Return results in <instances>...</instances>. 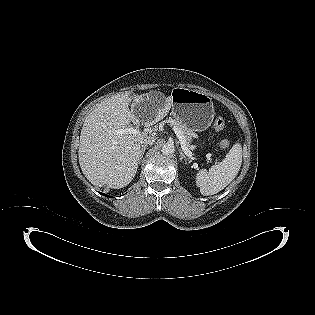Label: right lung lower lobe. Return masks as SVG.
Instances as JSON below:
<instances>
[{
    "label": "right lung lower lobe",
    "mask_w": 315,
    "mask_h": 315,
    "mask_svg": "<svg viewBox=\"0 0 315 315\" xmlns=\"http://www.w3.org/2000/svg\"><path fill=\"white\" fill-rule=\"evenodd\" d=\"M100 194H102V195H104V196H107V197H110V196H108V195H106V194H104V193H100Z\"/></svg>",
    "instance_id": "98d812e1"
}]
</instances>
